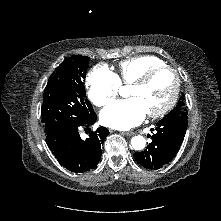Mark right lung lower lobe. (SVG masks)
<instances>
[{"label":"right lung lower lobe","mask_w":221,"mask_h":221,"mask_svg":"<svg viewBox=\"0 0 221 221\" xmlns=\"http://www.w3.org/2000/svg\"><path fill=\"white\" fill-rule=\"evenodd\" d=\"M96 119L94 112L82 122L46 134V143L52 154L69 171L83 173L97 166L102 154L101 147L109 131L99 127L86 140H82L78 132L80 127H88Z\"/></svg>","instance_id":"obj_1"}]
</instances>
